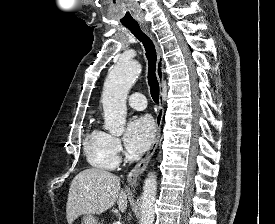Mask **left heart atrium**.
<instances>
[{
    "instance_id": "1",
    "label": "left heart atrium",
    "mask_w": 275,
    "mask_h": 224,
    "mask_svg": "<svg viewBox=\"0 0 275 224\" xmlns=\"http://www.w3.org/2000/svg\"><path fill=\"white\" fill-rule=\"evenodd\" d=\"M155 134V125L149 116H136L128 123L124 135V142L130 152L142 154L151 145Z\"/></svg>"
}]
</instances>
